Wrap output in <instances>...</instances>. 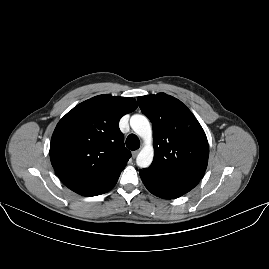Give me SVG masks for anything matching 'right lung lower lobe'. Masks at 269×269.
Here are the masks:
<instances>
[{
	"instance_id": "98d812e1",
	"label": "right lung lower lobe",
	"mask_w": 269,
	"mask_h": 269,
	"mask_svg": "<svg viewBox=\"0 0 269 269\" xmlns=\"http://www.w3.org/2000/svg\"><path fill=\"white\" fill-rule=\"evenodd\" d=\"M119 177L113 179L112 181L100 185V186H96V187H90V188H85V189H80L75 191L76 193L83 195V196H97L103 193H106L108 191H110L116 184L117 180Z\"/></svg>"
}]
</instances>
